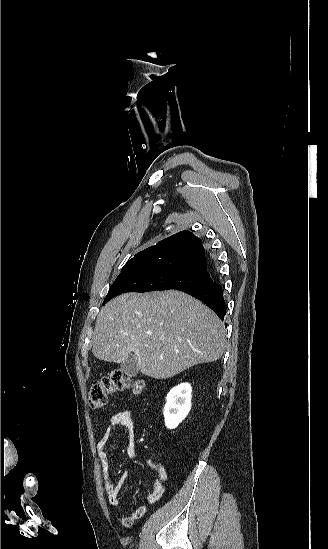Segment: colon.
<instances>
[{
	"mask_svg": "<svg viewBox=\"0 0 328 549\" xmlns=\"http://www.w3.org/2000/svg\"><path fill=\"white\" fill-rule=\"evenodd\" d=\"M144 382L141 380H131L123 376L119 371H113L100 381L95 382L89 391L88 402L94 409L106 406L109 396L117 391L130 389L135 393H140L144 388ZM136 515V514H135ZM135 515H125L120 517V522L130 527Z\"/></svg>",
	"mask_w": 328,
	"mask_h": 549,
	"instance_id": "1",
	"label": "colon"
}]
</instances>
